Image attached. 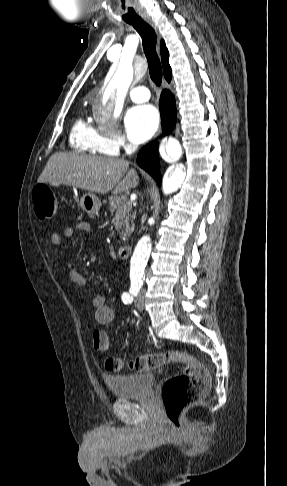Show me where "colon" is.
Instances as JSON below:
<instances>
[{
  "label": "colon",
  "instance_id": "obj_1",
  "mask_svg": "<svg viewBox=\"0 0 287 486\" xmlns=\"http://www.w3.org/2000/svg\"><path fill=\"white\" fill-rule=\"evenodd\" d=\"M36 215L43 220L51 219L57 212V200L52 189L46 184H38L32 191ZM93 346L97 351L109 349V339L102 330L93 333ZM169 363H180L183 370L167 378L161 389L163 408L167 419L174 425L179 422L181 411L199 400L208 390L210 379L206 368L192 355L182 351H167L141 354L130 361L119 357H109L105 368L111 372H121L126 368L135 371L158 369Z\"/></svg>",
  "mask_w": 287,
  "mask_h": 486
}]
</instances>
